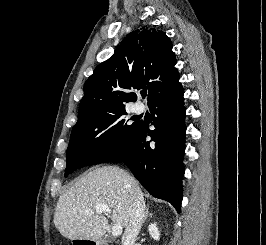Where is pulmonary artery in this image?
I'll list each match as a JSON object with an SVG mask.
<instances>
[{
	"label": "pulmonary artery",
	"mask_w": 266,
	"mask_h": 245,
	"mask_svg": "<svg viewBox=\"0 0 266 245\" xmlns=\"http://www.w3.org/2000/svg\"><path fill=\"white\" fill-rule=\"evenodd\" d=\"M143 110H144V105H142V104H136L134 106V111L136 113H141Z\"/></svg>",
	"instance_id": "pulmonary-artery-1"
}]
</instances>
